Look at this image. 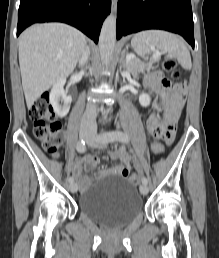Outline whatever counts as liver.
I'll return each instance as SVG.
<instances>
[{
  "label": "liver",
  "mask_w": 219,
  "mask_h": 258,
  "mask_svg": "<svg viewBox=\"0 0 219 258\" xmlns=\"http://www.w3.org/2000/svg\"><path fill=\"white\" fill-rule=\"evenodd\" d=\"M85 48V35L62 23L33 25L20 35L19 64L29 108L56 81L73 73Z\"/></svg>",
  "instance_id": "1"
}]
</instances>
